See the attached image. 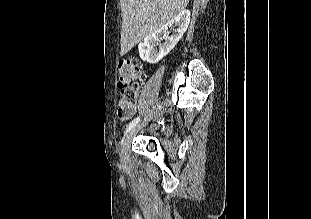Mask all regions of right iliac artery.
<instances>
[{
    "label": "right iliac artery",
    "instance_id": "right-iliac-artery-1",
    "mask_svg": "<svg viewBox=\"0 0 311 219\" xmlns=\"http://www.w3.org/2000/svg\"><path fill=\"white\" fill-rule=\"evenodd\" d=\"M140 118L137 117L135 118L128 126H127V129H126V133L129 132L132 128H134L137 123L139 122Z\"/></svg>",
    "mask_w": 311,
    "mask_h": 219
}]
</instances>
